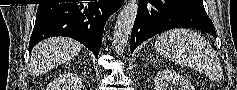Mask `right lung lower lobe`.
I'll list each match as a JSON object with an SVG mask.
<instances>
[{"mask_svg": "<svg viewBox=\"0 0 237 90\" xmlns=\"http://www.w3.org/2000/svg\"><path fill=\"white\" fill-rule=\"evenodd\" d=\"M123 0L40 4L30 37L29 53L41 40L53 36L73 38L98 57L104 25Z\"/></svg>", "mask_w": 237, "mask_h": 90, "instance_id": "98d812e1", "label": "right lung lower lobe"}]
</instances>
